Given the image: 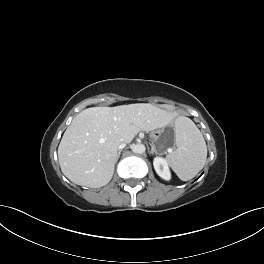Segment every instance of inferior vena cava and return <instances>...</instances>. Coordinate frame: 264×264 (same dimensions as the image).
I'll return each mask as SVG.
<instances>
[{
  "label": "inferior vena cava",
  "mask_w": 264,
  "mask_h": 264,
  "mask_svg": "<svg viewBox=\"0 0 264 264\" xmlns=\"http://www.w3.org/2000/svg\"><path fill=\"white\" fill-rule=\"evenodd\" d=\"M126 146V144L123 142V141H121L120 143H119V145H118V148L119 149H122V148H124Z\"/></svg>",
  "instance_id": "obj_1"
}]
</instances>
